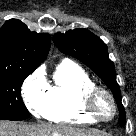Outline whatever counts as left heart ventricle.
Instances as JSON below:
<instances>
[{
	"mask_svg": "<svg viewBox=\"0 0 136 136\" xmlns=\"http://www.w3.org/2000/svg\"><path fill=\"white\" fill-rule=\"evenodd\" d=\"M96 108L99 114L103 117H109L113 111L110 100L103 95L98 98Z\"/></svg>",
	"mask_w": 136,
	"mask_h": 136,
	"instance_id": "left-heart-ventricle-1",
	"label": "left heart ventricle"
}]
</instances>
